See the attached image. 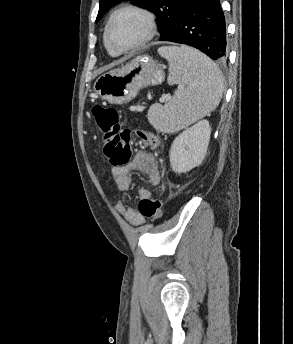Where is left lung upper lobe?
I'll return each instance as SVG.
<instances>
[{
    "label": "left lung upper lobe",
    "mask_w": 293,
    "mask_h": 344,
    "mask_svg": "<svg viewBox=\"0 0 293 344\" xmlns=\"http://www.w3.org/2000/svg\"><path fill=\"white\" fill-rule=\"evenodd\" d=\"M129 0H100L98 22L114 5ZM186 0H131V3L152 11L157 16L158 29L163 37L172 27Z\"/></svg>",
    "instance_id": "obj_1"
}]
</instances>
